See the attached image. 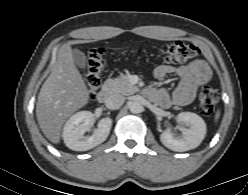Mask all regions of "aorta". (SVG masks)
Masks as SVG:
<instances>
[{"mask_svg":"<svg viewBox=\"0 0 248 195\" xmlns=\"http://www.w3.org/2000/svg\"><path fill=\"white\" fill-rule=\"evenodd\" d=\"M129 109L131 113L137 114L142 111V105L138 101H132L129 104Z\"/></svg>","mask_w":248,"mask_h":195,"instance_id":"obj_1","label":"aorta"}]
</instances>
